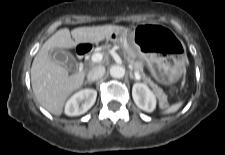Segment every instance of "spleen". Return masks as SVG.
<instances>
[{
	"label": "spleen",
	"mask_w": 225,
	"mask_h": 155,
	"mask_svg": "<svg viewBox=\"0 0 225 155\" xmlns=\"http://www.w3.org/2000/svg\"><path fill=\"white\" fill-rule=\"evenodd\" d=\"M182 106V102H179L177 104H173L170 107H168L163 114H169L176 112L180 107Z\"/></svg>",
	"instance_id": "spleen-1"
}]
</instances>
